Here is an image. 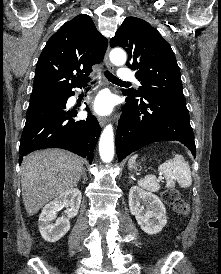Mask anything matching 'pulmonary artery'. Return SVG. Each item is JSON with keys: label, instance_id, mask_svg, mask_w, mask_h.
Wrapping results in <instances>:
<instances>
[{"label": "pulmonary artery", "instance_id": "e3ab8cb5", "mask_svg": "<svg viewBox=\"0 0 221 274\" xmlns=\"http://www.w3.org/2000/svg\"><path fill=\"white\" fill-rule=\"evenodd\" d=\"M118 78L121 81H133L135 80V75L130 69L121 68L118 72Z\"/></svg>", "mask_w": 221, "mask_h": 274}]
</instances>
